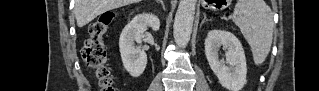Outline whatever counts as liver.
Masks as SVG:
<instances>
[{
    "label": "liver",
    "mask_w": 319,
    "mask_h": 91,
    "mask_svg": "<svg viewBox=\"0 0 319 91\" xmlns=\"http://www.w3.org/2000/svg\"><path fill=\"white\" fill-rule=\"evenodd\" d=\"M139 0H76L75 17L78 27H83L102 13L126 6Z\"/></svg>",
    "instance_id": "liver-1"
}]
</instances>
